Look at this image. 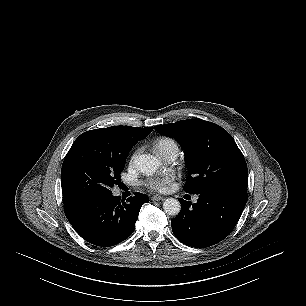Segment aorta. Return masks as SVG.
<instances>
[{
	"instance_id": "1",
	"label": "aorta",
	"mask_w": 306,
	"mask_h": 306,
	"mask_svg": "<svg viewBox=\"0 0 306 306\" xmlns=\"http://www.w3.org/2000/svg\"><path fill=\"white\" fill-rule=\"evenodd\" d=\"M135 163L137 169L144 174L155 173L160 166L159 159L151 154H142L138 156ZM180 209V202L174 198H167L163 203V210L168 215H177Z\"/></svg>"
}]
</instances>
